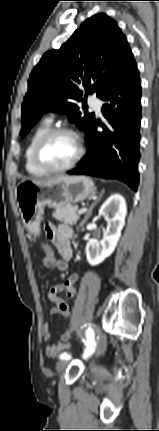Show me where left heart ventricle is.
Segmentation results:
<instances>
[{"label": "left heart ventricle", "instance_id": "obj_1", "mask_svg": "<svg viewBox=\"0 0 159 431\" xmlns=\"http://www.w3.org/2000/svg\"><path fill=\"white\" fill-rule=\"evenodd\" d=\"M77 153L75 139L68 134L54 136L45 145L43 159L53 167H62L72 161Z\"/></svg>", "mask_w": 159, "mask_h": 431}]
</instances>
